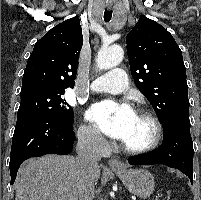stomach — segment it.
Returning a JSON list of instances; mask_svg holds the SVG:
<instances>
[{"instance_id":"0dacf381","label":"stomach","mask_w":201,"mask_h":200,"mask_svg":"<svg viewBox=\"0 0 201 200\" xmlns=\"http://www.w3.org/2000/svg\"><path fill=\"white\" fill-rule=\"evenodd\" d=\"M126 188L140 198H147L154 191L152 174L145 169H113Z\"/></svg>"}]
</instances>
